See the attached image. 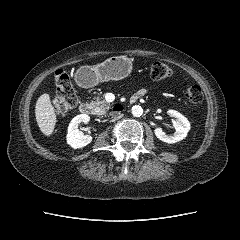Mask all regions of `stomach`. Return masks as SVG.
<instances>
[{
    "mask_svg": "<svg viewBox=\"0 0 240 240\" xmlns=\"http://www.w3.org/2000/svg\"><path fill=\"white\" fill-rule=\"evenodd\" d=\"M131 70V62L122 56L110 57L95 66H82L77 71V78L87 86H95L100 82L120 80Z\"/></svg>",
    "mask_w": 240,
    "mask_h": 240,
    "instance_id": "obj_1",
    "label": "stomach"
}]
</instances>
